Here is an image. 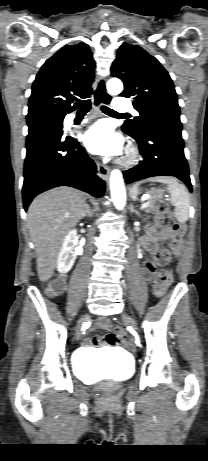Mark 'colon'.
<instances>
[{"label": "colon", "instance_id": "obj_1", "mask_svg": "<svg viewBox=\"0 0 208 461\" xmlns=\"http://www.w3.org/2000/svg\"><path fill=\"white\" fill-rule=\"evenodd\" d=\"M156 222L159 227L166 229L171 234V241L168 248L162 249L157 253L153 260L147 262L149 266H154L155 268L163 266L169 262L171 257V250L177 249L179 247L180 236L182 233L181 226L175 221L171 212L165 206L160 208L156 217ZM172 280L173 276L170 270H162L159 272L153 282L154 293L159 297L164 296L167 292V289L171 285ZM62 288L63 283L53 282L49 287V292L54 294L55 292L60 291ZM114 332H116L118 336H121V343H123L125 337L122 333V330L117 327L114 329Z\"/></svg>", "mask_w": 208, "mask_h": 461}]
</instances>
